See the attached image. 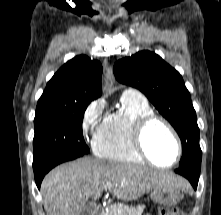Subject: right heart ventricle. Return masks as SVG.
Instances as JSON below:
<instances>
[{"instance_id":"obj_1","label":"right heart ventricle","mask_w":221,"mask_h":215,"mask_svg":"<svg viewBox=\"0 0 221 215\" xmlns=\"http://www.w3.org/2000/svg\"><path fill=\"white\" fill-rule=\"evenodd\" d=\"M153 110L144 96L123 94L117 110L104 118L93 140L95 153L109 160L126 163H143L134 150L131 129L134 122Z\"/></svg>"}]
</instances>
